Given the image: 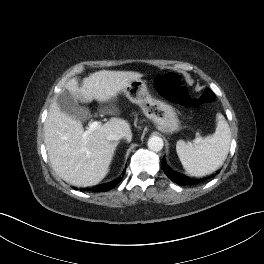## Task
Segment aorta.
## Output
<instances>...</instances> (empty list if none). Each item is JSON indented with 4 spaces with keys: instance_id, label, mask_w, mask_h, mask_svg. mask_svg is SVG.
Returning <instances> with one entry per match:
<instances>
[{
    "instance_id": "762f6f07",
    "label": "aorta",
    "mask_w": 264,
    "mask_h": 264,
    "mask_svg": "<svg viewBox=\"0 0 264 264\" xmlns=\"http://www.w3.org/2000/svg\"><path fill=\"white\" fill-rule=\"evenodd\" d=\"M147 145L151 151L158 152V151L162 150V148L164 146V142H163L161 137L152 136L149 138Z\"/></svg>"
}]
</instances>
